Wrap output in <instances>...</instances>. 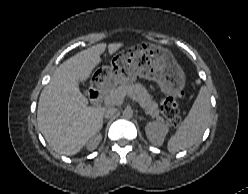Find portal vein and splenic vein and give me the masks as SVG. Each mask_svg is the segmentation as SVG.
Instances as JSON below:
<instances>
[{
  "mask_svg": "<svg viewBox=\"0 0 248 194\" xmlns=\"http://www.w3.org/2000/svg\"><path fill=\"white\" fill-rule=\"evenodd\" d=\"M130 97L135 100V97L134 96L130 95Z\"/></svg>",
  "mask_w": 248,
  "mask_h": 194,
  "instance_id": "portal-vein-and-splenic-vein-1",
  "label": "portal vein and splenic vein"
}]
</instances>
